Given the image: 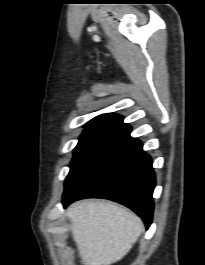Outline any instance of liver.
<instances>
[{
    "label": "liver",
    "mask_w": 205,
    "mask_h": 265,
    "mask_svg": "<svg viewBox=\"0 0 205 265\" xmlns=\"http://www.w3.org/2000/svg\"><path fill=\"white\" fill-rule=\"evenodd\" d=\"M66 215L83 265L116 263L144 232L138 216L110 202H77Z\"/></svg>",
    "instance_id": "obj_1"
}]
</instances>
